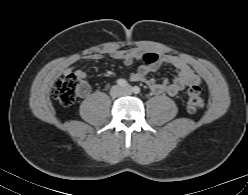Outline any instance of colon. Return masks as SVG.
Returning <instances> with one entry per match:
<instances>
[{"mask_svg": "<svg viewBox=\"0 0 248 195\" xmlns=\"http://www.w3.org/2000/svg\"><path fill=\"white\" fill-rule=\"evenodd\" d=\"M139 59L147 64L157 61L158 56L153 53H145L139 56ZM87 85L80 81L74 73L67 74L57 79L51 89L52 96L63 106L72 105L79 94L85 92ZM204 105L201 95V89L193 85L187 91V111L195 114Z\"/></svg>", "mask_w": 248, "mask_h": 195, "instance_id": "1", "label": "colon"}]
</instances>
